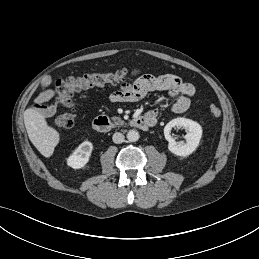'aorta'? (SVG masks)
I'll use <instances>...</instances> for the list:
<instances>
[{
	"label": "aorta",
	"mask_w": 259,
	"mask_h": 259,
	"mask_svg": "<svg viewBox=\"0 0 259 259\" xmlns=\"http://www.w3.org/2000/svg\"><path fill=\"white\" fill-rule=\"evenodd\" d=\"M139 133L136 131V130H129L127 132V139L130 141V142H136L139 140Z\"/></svg>",
	"instance_id": "obj_1"
}]
</instances>
